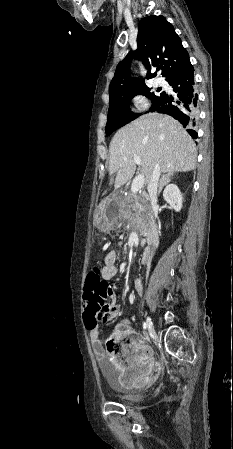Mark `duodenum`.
Masks as SVG:
<instances>
[{
    "label": "duodenum",
    "mask_w": 233,
    "mask_h": 449,
    "mask_svg": "<svg viewBox=\"0 0 233 449\" xmlns=\"http://www.w3.org/2000/svg\"><path fill=\"white\" fill-rule=\"evenodd\" d=\"M159 240L157 237L151 238V247H149L142 255V260L145 264L150 265L153 257L155 255V251L158 248ZM135 291V290H134Z\"/></svg>",
    "instance_id": "duodenum-1"
}]
</instances>
